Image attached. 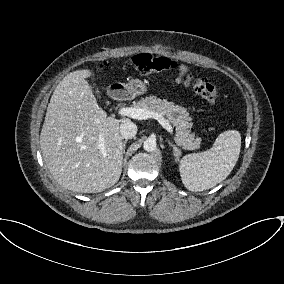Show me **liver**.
Instances as JSON below:
<instances>
[{
	"label": "liver",
	"mask_w": 284,
	"mask_h": 284,
	"mask_svg": "<svg viewBox=\"0 0 284 284\" xmlns=\"http://www.w3.org/2000/svg\"><path fill=\"white\" fill-rule=\"evenodd\" d=\"M91 75L88 69L77 70L59 82L40 134L53 178L77 193H98L117 183L124 154L120 123L129 121L107 117L86 81Z\"/></svg>",
	"instance_id": "obj_1"
}]
</instances>
